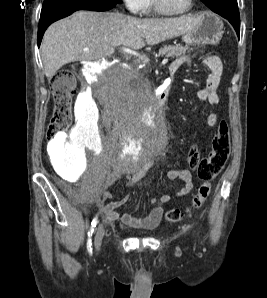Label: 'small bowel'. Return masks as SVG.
Here are the masks:
<instances>
[{
  "mask_svg": "<svg viewBox=\"0 0 267 298\" xmlns=\"http://www.w3.org/2000/svg\"><path fill=\"white\" fill-rule=\"evenodd\" d=\"M190 62V58L187 56H182L174 60L170 65V71L174 74L179 68L183 65H186ZM203 64L208 68L209 74L205 79L203 88L199 89L196 92V97L205 101L211 105H217L220 102L219 96V85L223 72V65L220 58L216 55L205 54L202 57ZM206 121L209 126L215 127L219 124L218 116L215 113H210L206 117ZM60 138H64L63 135H60ZM71 146H78L74 136L69 137ZM142 176V172L134 173L130 177V182L136 184ZM167 177L170 180L180 179L183 182V186L171 194H163L158 198L151 199L150 203L154 206L150 213L145 217H135L129 213H124L120 215L117 212V208L122 206L126 201L127 197L121 200L114 201L113 194L109 190H102L100 192H92L87 194L86 199L90 202L96 203L102 214L105 216L106 220L110 223H113L117 220H120L121 223L132 229H143V230H152L156 228L163 214V205L170 202L175 197H181L189 194L193 189V181L191 174L184 169H171L167 172Z\"/></svg>",
  "mask_w": 267,
  "mask_h": 298,
  "instance_id": "c3829d8e",
  "label": "small bowel"
}]
</instances>
